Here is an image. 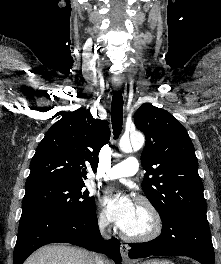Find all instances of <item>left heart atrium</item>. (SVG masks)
Masks as SVG:
<instances>
[{
    "label": "left heart atrium",
    "mask_w": 221,
    "mask_h": 264,
    "mask_svg": "<svg viewBox=\"0 0 221 264\" xmlns=\"http://www.w3.org/2000/svg\"><path fill=\"white\" fill-rule=\"evenodd\" d=\"M107 218L125 230L132 222L138 205L126 194L108 193L102 199Z\"/></svg>",
    "instance_id": "39dd6f15"
}]
</instances>
